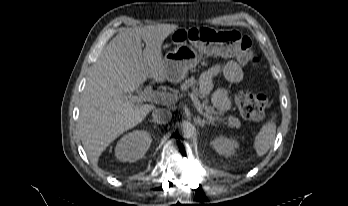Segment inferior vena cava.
<instances>
[{
  "mask_svg": "<svg viewBox=\"0 0 348 206\" xmlns=\"http://www.w3.org/2000/svg\"><path fill=\"white\" fill-rule=\"evenodd\" d=\"M153 120L158 124H166L172 118V113L163 108H156L152 112Z\"/></svg>",
  "mask_w": 348,
  "mask_h": 206,
  "instance_id": "obj_1",
  "label": "inferior vena cava"
}]
</instances>
